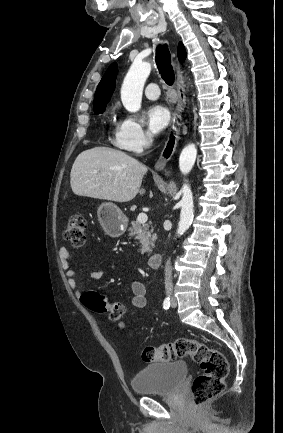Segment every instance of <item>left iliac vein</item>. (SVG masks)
Listing matches in <instances>:
<instances>
[{"label":"left iliac vein","mask_w":283,"mask_h":433,"mask_svg":"<svg viewBox=\"0 0 283 433\" xmlns=\"http://www.w3.org/2000/svg\"><path fill=\"white\" fill-rule=\"evenodd\" d=\"M176 306H177V301H176V298L173 297V298L171 299V307H172V308H175Z\"/></svg>","instance_id":"obj_1"}]
</instances>
